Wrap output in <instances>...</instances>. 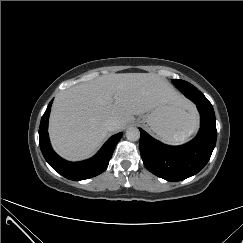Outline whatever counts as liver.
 I'll return each mask as SVG.
<instances>
[{"mask_svg":"<svg viewBox=\"0 0 243 243\" xmlns=\"http://www.w3.org/2000/svg\"><path fill=\"white\" fill-rule=\"evenodd\" d=\"M160 104L189 107L190 103L164 78L154 73L100 76L63 90L55 97L49 134L55 151L68 160L90 157L100 147L115 118L123 129L135 115Z\"/></svg>","mask_w":243,"mask_h":243,"instance_id":"6515ba94","label":"liver"}]
</instances>
